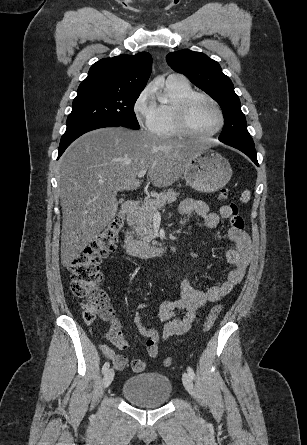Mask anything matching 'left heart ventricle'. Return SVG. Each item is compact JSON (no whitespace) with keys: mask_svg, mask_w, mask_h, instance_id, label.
<instances>
[{"mask_svg":"<svg viewBox=\"0 0 307 445\" xmlns=\"http://www.w3.org/2000/svg\"><path fill=\"white\" fill-rule=\"evenodd\" d=\"M192 125L199 132H210L217 129L221 123L218 109L205 100H197L189 110Z\"/></svg>","mask_w":307,"mask_h":445,"instance_id":"1","label":"left heart ventricle"}]
</instances>
